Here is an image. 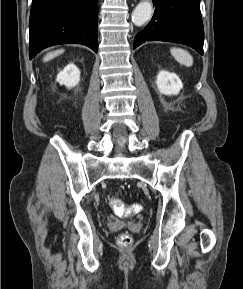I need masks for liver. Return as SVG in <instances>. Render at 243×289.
I'll list each match as a JSON object with an SVG mask.
<instances>
[{
	"instance_id": "6515ba94",
	"label": "liver",
	"mask_w": 243,
	"mask_h": 289,
	"mask_svg": "<svg viewBox=\"0 0 243 289\" xmlns=\"http://www.w3.org/2000/svg\"><path fill=\"white\" fill-rule=\"evenodd\" d=\"M63 52H64V49H59V50H56V51L49 52L43 58V62L50 61L51 59L57 57L58 55L62 54Z\"/></svg>"
}]
</instances>
